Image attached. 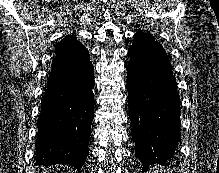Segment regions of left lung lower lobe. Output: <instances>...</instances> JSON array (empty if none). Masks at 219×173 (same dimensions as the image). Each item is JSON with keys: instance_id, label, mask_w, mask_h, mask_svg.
Returning a JSON list of instances; mask_svg holds the SVG:
<instances>
[{"instance_id": "obj_1", "label": "left lung lower lobe", "mask_w": 219, "mask_h": 173, "mask_svg": "<svg viewBox=\"0 0 219 173\" xmlns=\"http://www.w3.org/2000/svg\"><path fill=\"white\" fill-rule=\"evenodd\" d=\"M128 54V104L135 156L144 169L175 159L180 137L176 80L167 53L149 33L137 32Z\"/></svg>"}]
</instances>
